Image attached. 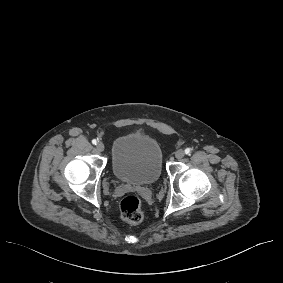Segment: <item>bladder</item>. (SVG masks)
<instances>
[{
	"mask_svg": "<svg viewBox=\"0 0 283 283\" xmlns=\"http://www.w3.org/2000/svg\"><path fill=\"white\" fill-rule=\"evenodd\" d=\"M113 173L124 183L152 184L162 171V153L152 137L130 133L116 139L113 145Z\"/></svg>",
	"mask_w": 283,
	"mask_h": 283,
	"instance_id": "31cf9c89",
	"label": "bladder"
}]
</instances>
